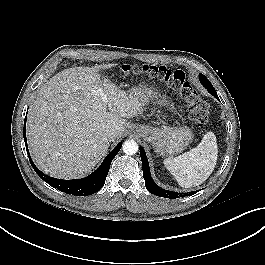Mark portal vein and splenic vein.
Returning a JSON list of instances; mask_svg holds the SVG:
<instances>
[{
	"mask_svg": "<svg viewBox=\"0 0 265 265\" xmlns=\"http://www.w3.org/2000/svg\"><path fill=\"white\" fill-rule=\"evenodd\" d=\"M99 93H100V96H101L103 102L106 104L107 103V97H106L104 91L102 89H99Z\"/></svg>",
	"mask_w": 265,
	"mask_h": 265,
	"instance_id": "obj_1",
	"label": "portal vein and splenic vein"
}]
</instances>
